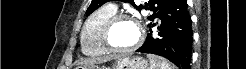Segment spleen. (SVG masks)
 <instances>
[{"instance_id": "3e777b00", "label": "spleen", "mask_w": 246, "mask_h": 69, "mask_svg": "<svg viewBox=\"0 0 246 69\" xmlns=\"http://www.w3.org/2000/svg\"><path fill=\"white\" fill-rule=\"evenodd\" d=\"M147 57L150 61V69H175L173 65L162 57L155 55H147Z\"/></svg>"}]
</instances>
